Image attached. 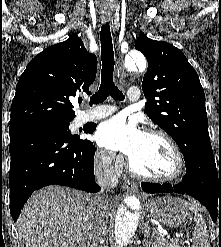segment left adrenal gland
<instances>
[{"label": "left adrenal gland", "instance_id": "1", "mask_svg": "<svg viewBox=\"0 0 221 247\" xmlns=\"http://www.w3.org/2000/svg\"><path fill=\"white\" fill-rule=\"evenodd\" d=\"M142 233L144 234V237L150 238V228H149V221L144 224L142 227Z\"/></svg>", "mask_w": 221, "mask_h": 247}]
</instances>
